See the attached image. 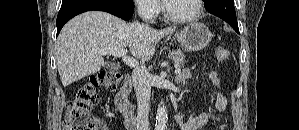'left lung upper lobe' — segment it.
Returning <instances> with one entry per match:
<instances>
[{"label": "left lung upper lobe", "instance_id": "1", "mask_svg": "<svg viewBox=\"0 0 299 130\" xmlns=\"http://www.w3.org/2000/svg\"><path fill=\"white\" fill-rule=\"evenodd\" d=\"M209 0H204V3H207Z\"/></svg>", "mask_w": 299, "mask_h": 130}]
</instances>
